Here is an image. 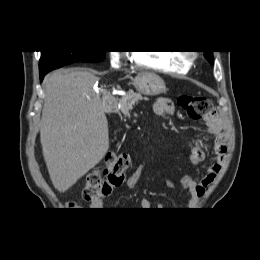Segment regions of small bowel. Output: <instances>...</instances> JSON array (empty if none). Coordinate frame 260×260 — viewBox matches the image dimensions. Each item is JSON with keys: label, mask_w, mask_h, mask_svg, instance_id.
Wrapping results in <instances>:
<instances>
[{"label": "small bowel", "mask_w": 260, "mask_h": 260, "mask_svg": "<svg viewBox=\"0 0 260 260\" xmlns=\"http://www.w3.org/2000/svg\"><path fill=\"white\" fill-rule=\"evenodd\" d=\"M152 110L154 115L157 117L171 115L174 112V103L169 98L160 97L153 102ZM204 120L208 127V132L215 136L213 161L207 167L206 173L199 179H196L190 175H183L178 180L171 177L166 179V183L169 187H174L176 183L179 182L182 187L188 191L190 195L189 203L191 206H195L199 202L208 187L215 180L217 174L221 170L227 153V135L223 121L217 114L214 116H208L204 118ZM205 158L206 154L203 150L201 142L195 143V145L191 148L189 161L192 164H199L203 162ZM145 166L146 163L143 162L134 168L127 178L125 184L127 188L132 189L136 186ZM139 203L143 210H151L152 208L159 207L158 203H153L146 198H142ZM103 208L104 203L101 199L93 200L90 203L91 210H102Z\"/></svg>", "instance_id": "obj_1"}]
</instances>
